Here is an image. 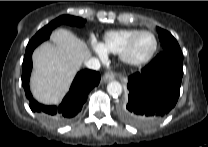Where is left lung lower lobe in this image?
<instances>
[{"mask_svg":"<svg viewBox=\"0 0 208 147\" xmlns=\"http://www.w3.org/2000/svg\"><path fill=\"white\" fill-rule=\"evenodd\" d=\"M182 76V54H158L141 72L128 78V101L119 109L121 118L143 127L166 116L177 103Z\"/></svg>","mask_w":208,"mask_h":147,"instance_id":"1","label":"left lung lower lobe"}]
</instances>
